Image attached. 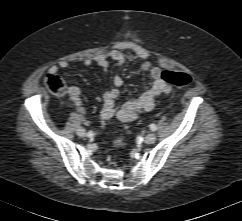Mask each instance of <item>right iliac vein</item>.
Returning a JSON list of instances; mask_svg holds the SVG:
<instances>
[{
    "instance_id": "obj_1",
    "label": "right iliac vein",
    "mask_w": 242,
    "mask_h": 221,
    "mask_svg": "<svg viewBox=\"0 0 242 221\" xmlns=\"http://www.w3.org/2000/svg\"><path fill=\"white\" fill-rule=\"evenodd\" d=\"M77 134L80 136V137H85L87 135L86 131L83 129V128H79L77 130Z\"/></svg>"
}]
</instances>
